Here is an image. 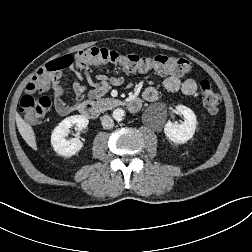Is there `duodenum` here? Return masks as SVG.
I'll list each match as a JSON object with an SVG mask.
<instances>
[{"label":"duodenum","instance_id":"410a0bca","mask_svg":"<svg viewBox=\"0 0 252 252\" xmlns=\"http://www.w3.org/2000/svg\"><path fill=\"white\" fill-rule=\"evenodd\" d=\"M126 106L131 112H137L142 106L139 98L127 101ZM79 113L87 118L95 119L100 114V105L95 101H83L77 107Z\"/></svg>","mask_w":252,"mask_h":252}]
</instances>
